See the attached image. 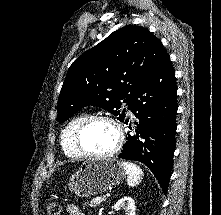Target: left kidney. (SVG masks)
Segmentation results:
<instances>
[{
	"instance_id": "1",
	"label": "left kidney",
	"mask_w": 221,
	"mask_h": 215,
	"mask_svg": "<svg viewBox=\"0 0 221 215\" xmlns=\"http://www.w3.org/2000/svg\"><path fill=\"white\" fill-rule=\"evenodd\" d=\"M114 209L116 211L125 210L126 215H135L136 206L134 200L131 197L125 196L118 200V202L114 205Z\"/></svg>"
}]
</instances>
